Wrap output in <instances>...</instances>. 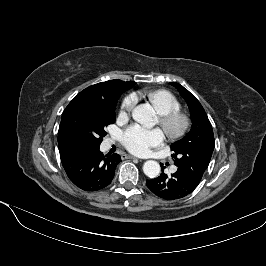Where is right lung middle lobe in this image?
Wrapping results in <instances>:
<instances>
[{
    "mask_svg": "<svg viewBox=\"0 0 266 266\" xmlns=\"http://www.w3.org/2000/svg\"><path fill=\"white\" fill-rule=\"evenodd\" d=\"M123 92L109 102L79 99L66 107L60 129L72 150L100 146L107 134L105 127L115 122L117 100Z\"/></svg>",
    "mask_w": 266,
    "mask_h": 266,
    "instance_id": "obj_1",
    "label": "right lung middle lobe"
}]
</instances>
